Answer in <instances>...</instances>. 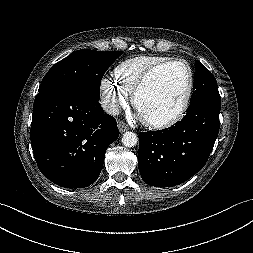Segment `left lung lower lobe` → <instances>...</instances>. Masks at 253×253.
<instances>
[{"mask_svg": "<svg viewBox=\"0 0 253 253\" xmlns=\"http://www.w3.org/2000/svg\"><path fill=\"white\" fill-rule=\"evenodd\" d=\"M220 106L221 100L203 99L175 125L140 133L138 167L145 183L175 186L203 168L219 132Z\"/></svg>", "mask_w": 253, "mask_h": 253, "instance_id": "0a47b994", "label": "left lung lower lobe"}]
</instances>
